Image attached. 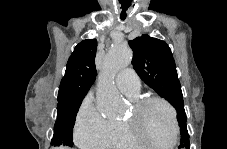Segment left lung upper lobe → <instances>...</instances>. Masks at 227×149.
I'll return each instance as SVG.
<instances>
[{"mask_svg": "<svg viewBox=\"0 0 227 149\" xmlns=\"http://www.w3.org/2000/svg\"><path fill=\"white\" fill-rule=\"evenodd\" d=\"M129 46L134 52L132 64L139 77L176 109L181 128L179 147L189 148L183 95L171 49L164 41L149 35L129 41Z\"/></svg>", "mask_w": 227, "mask_h": 149, "instance_id": "1", "label": "left lung upper lobe"}]
</instances>
